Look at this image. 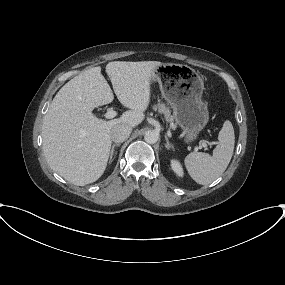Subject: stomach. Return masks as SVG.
<instances>
[{"instance_id":"0dacf381","label":"stomach","mask_w":285,"mask_h":285,"mask_svg":"<svg viewBox=\"0 0 285 285\" xmlns=\"http://www.w3.org/2000/svg\"><path fill=\"white\" fill-rule=\"evenodd\" d=\"M152 80L159 83L163 98L173 110V119L182 129L185 143L197 140L209 121L207 104L202 101L204 82L191 68L165 63L156 67Z\"/></svg>"}]
</instances>
